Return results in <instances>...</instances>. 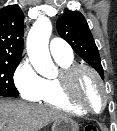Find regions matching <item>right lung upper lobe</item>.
I'll use <instances>...</instances> for the list:
<instances>
[{
    "instance_id": "1",
    "label": "right lung upper lobe",
    "mask_w": 117,
    "mask_h": 131,
    "mask_svg": "<svg viewBox=\"0 0 117 131\" xmlns=\"http://www.w3.org/2000/svg\"><path fill=\"white\" fill-rule=\"evenodd\" d=\"M23 18L18 5L0 9V61H20L23 52Z\"/></svg>"
}]
</instances>
